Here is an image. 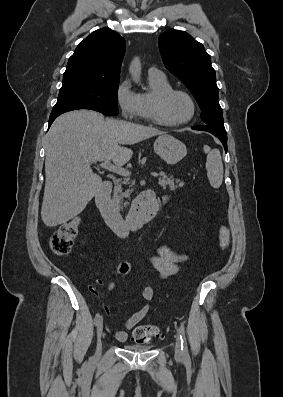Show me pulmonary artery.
I'll return each instance as SVG.
<instances>
[{
  "instance_id": "obj_1",
  "label": "pulmonary artery",
  "mask_w": 283,
  "mask_h": 397,
  "mask_svg": "<svg viewBox=\"0 0 283 397\" xmlns=\"http://www.w3.org/2000/svg\"><path fill=\"white\" fill-rule=\"evenodd\" d=\"M148 73H149V75H151V76H164V74L162 73V71H160L159 69L154 68V67L150 68L149 71H148Z\"/></svg>"
}]
</instances>
